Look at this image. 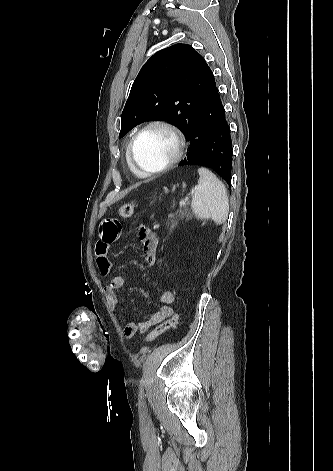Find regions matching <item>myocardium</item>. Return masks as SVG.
Instances as JSON below:
<instances>
[{
  "label": "myocardium",
  "instance_id": "f54148a6",
  "mask_svg": "<svg viewBox=\"0 0 333 471\" xmlns=\"http://www.w3.org/2000/svg\"><path fill=\"white\" fill-rule=\"evenodd\" d=\"M153 127H160V128H163V129L167 130L168 132H170L172 134L174 140H175L176 150H175V153L172 156V158L167 163H165L163 166H161L157 169L148 170V169L142 168L137 163V161L135 159V156H134V149H135V145H136L138 139L140 138V136L144 132H146L147 130H149ZM185 147H186L185 137H184L183 133L181 132V130L177 126H175L171 122L163 120V119H155V120H151V121L147 122L146 124H144L134 134V136L130 140V143H129V146H128V153H127L128 161H129L130 165L137 172H139L143 176L157 175V174H161V173L169 170L171 167H173L175 164H177L181 160V158L184 154Z\"/></svg>",
  "mask_w": 333,
  "mask_h": 471
}]
</instances>
